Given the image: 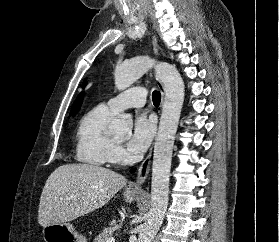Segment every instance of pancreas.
<instances>
[{"mask_svg":"<svg viewBox=\"0 0 279 242\" xmlns=\"http://www.w3.org/2000/svg\"><path fill=\"white\" fill-rule=\"evenodd\" d=\"M116 231L115 227L105 228L99 235L94 239V242H106V240L113 236V233Z\"/></svg>","mask_w":279,"mask_h":242,"instance_id":"1","label":"pancreas"}]
</instances>
